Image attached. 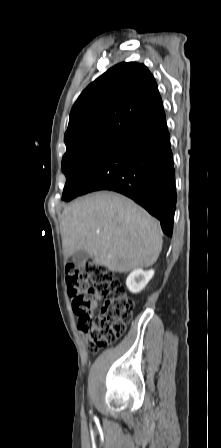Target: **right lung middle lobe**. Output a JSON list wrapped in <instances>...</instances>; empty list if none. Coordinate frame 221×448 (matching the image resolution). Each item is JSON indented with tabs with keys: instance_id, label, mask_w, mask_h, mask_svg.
<instances>
[{
	"instance_id": "obj_1",
	"label": "right lung middle lobe",
	"mask_w": 221,
	"mask_h": 448,
	"mask_svg": "<svg viewBox=\"0 0 221 448\" xmlns=\"http://www.w3.org/2000/svg\"><path fill=\"white\" fill-rule=\"evenodd\" d=\"M118 139H106L79 145L68 150L62 159L66 184L62 199L69 201L81 191L102 164Z\"/></svg>"
}]
</instances>
